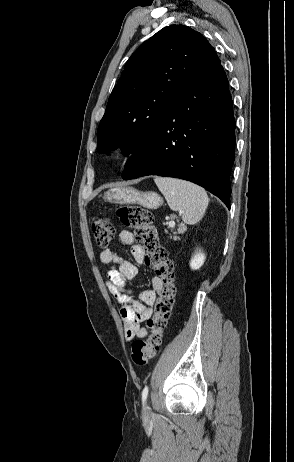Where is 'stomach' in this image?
Returning <instances> with one entry per match:
<instances>
[{
    "mask_svg": "<svg viewBox=\"0 0 294 462\" xmlns=\"http://www.w3.org/2000/svg\"><path fill=\"white\" fill-rule=\"evenodd\" d=\"M108 202L120 204H139L148 209H157L163 204V199L155 192H143L133 187H117L104 193Z\"/></svg>",
    "mask_w": 294,
    "mask_h": 462,
    "instance_id": "obj_1",
    "label": "stomach"
}]
</instances>
